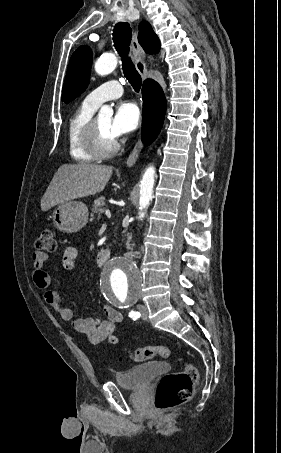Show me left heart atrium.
Here are the masks:
<instances>
[{
  "mask_svg": "<svg viewBox=\"0 0 281 453\" xmlns=\"http://www.w3.org/2000/svg\"><path fill=\"white\" fill-rule=\"evenodd\" d=\"M141 113L138 106L130 101H121L111 121L110 132L114 138L134 131L140 124Z\"/></svg>",
  "mask_w": 281,
  "mask_h": 453,
  "instance_id": "39dd6f15",
  "label": "left heart atrium"
}]
</instances>
